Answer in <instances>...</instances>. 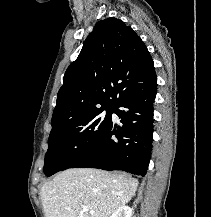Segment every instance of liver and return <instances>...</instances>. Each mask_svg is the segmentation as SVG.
<instances>
[{"instance_id":"1","label":"liver","mask_w":211,"mask_h":217,"mask_svg":"<svg viewBox=\"0 0 211 217\" xmlns=\"http://www.w3.org/2000/svg\"><path fill=\"white\" fill-rule=\"evenodd\" d=\"M137 187L138 180L124 174L67 169L42 186L40 197L45 217H110L132 199Z\"/></svg>"}]
</instances>
